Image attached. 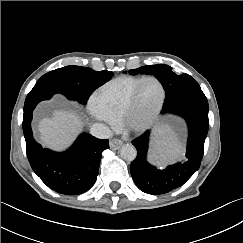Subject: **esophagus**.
<instances>
[{
    "mask_svg": "<svg viewBox=\"0 0 243 243\" xmlns=\"http://www.w3.org/2000/svg\"><path fill=\"white\" fill-rule=\"evenodd\" d=\"M123 142L121 140L113 139L110 141L109 145L111 149L117 150L122 146Z\"/></svg>",
    "mask_w": 243,
    "mask_h": 243,
    "instance_id": "1",
    "label": "esophagus"
}]
</instances>
